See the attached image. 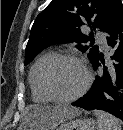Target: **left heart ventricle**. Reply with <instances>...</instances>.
Returning <instances> with one entry per match:
<instances>
[{
    "instance_id": "b2bd125f",
    "label": "left heart ventricle",
    "mask_w": 123,
    "mask_h": 130,
    "mask_svg": "<svg viewBox=\"0 0 123 130\" xmlns=\"http://www.w3.org/2000/svg\"><path fill=\"white\" fill-rule=\"evenodd\" d=\"M52 79L56 91L60 95L68 97L75 94L83 86L86 74L78 63L65 60L57 65Z\"/></svg>"
}]
</instances>
